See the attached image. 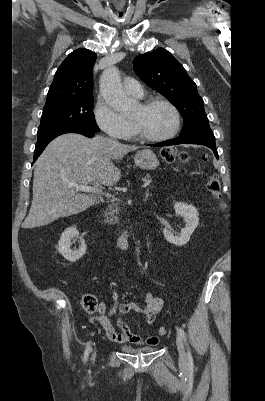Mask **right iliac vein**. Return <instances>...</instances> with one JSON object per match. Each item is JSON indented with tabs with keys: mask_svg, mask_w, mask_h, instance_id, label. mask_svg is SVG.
<instances>
[{
	"mask_svg": "<svg viewBox=\"0 0 265 401\" xmlns=\"http://www.w3.org/2000/svg\"><path fill=\"white\" fill-rule=\"evenodd\" d=\"M95 359H96V350L94 351V353H93V355L91 357L92 363L95 362Z\"/></svg>",
	"mask_w": 265,
	"mask_h": 401,
	"instance_id": "obj_1",
	"label": "right iliac vein"
}]
</instances>
